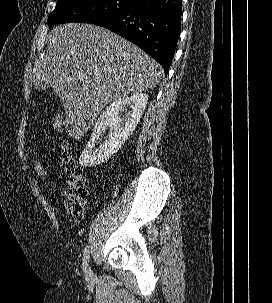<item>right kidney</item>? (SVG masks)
I'll list each match as a JSON object with an SVG mask.
<instances>
[{"instance_id":"ca27d5eb","label":"right kidney","mask_w":272,"mask_h":303,"mask_svg":"<svg viewBox=\"0 0 272 303\" xmlns=\"http://www.w3.org/2000/svg\"><path fill=\"white\" fill-rule=\"evenodd\" d=\"M147 101V94L135 93L130 97L115 100L107 106L94 125L91 138L80 156V165L83 167L97 166L115 154L136 128ZM126 105L132 108V112H128L122 117L121 111ZM107 127L109 128L107 139L99 149L94 151L95 144Z\"/></svg>"}]
</instances>
